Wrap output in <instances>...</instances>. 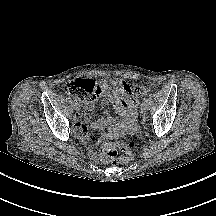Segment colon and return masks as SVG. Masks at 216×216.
Returning a JSON list of instances; mask_svg holds the SVG:
<instances>
[{"instance_id": "1", "label": "colon", "mask_w": 216, "mask_h": 216, "mask_svg": "<svg viewBox=\"0 0 216 216\" xmlns=\"http://www.w3.org/2000/svg\"><path fill=\"white\" fill-rule=\"evenodd\" d=\"M152 88V85L131 86L132 94L137 97H143ZM64 91L77 97L84 103H94L101 95V86L92 79H76L68 82L64 86ZM101 153L111 158L114 164H123L132 160L133 151L130 141L106 142L101 146Z\"/></svg>"}]
</instances>
